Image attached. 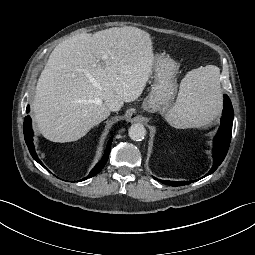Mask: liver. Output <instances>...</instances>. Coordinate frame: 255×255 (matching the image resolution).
<instances>
[{
    "label": "liver",
    "mask_w": 255,
    "mask_h": 255,
    "mask_svg": "<svg viewBox=\"0 0 255 255\" xmlns=\"http://www.w3.org/2000/svg\"><path fill=\"white\" fill-rule=\"evenodd\" d=\"M154 60L150 34L131 26L61 42L37 82L32 105L38 130L60 143L85 136L110 115L107 100L122 104L142 94Z\"/></svg>",
    "instance_id": "liver-1"
}]
</instances>
